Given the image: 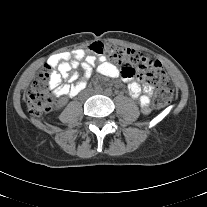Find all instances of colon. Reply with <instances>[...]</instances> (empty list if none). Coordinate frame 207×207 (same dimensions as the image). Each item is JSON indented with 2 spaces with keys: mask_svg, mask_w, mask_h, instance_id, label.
<instances>
[{
  "mask_svg": "<svg viewBox=\"0 0 207 207\" xmlns=\"http://www.w3.org/2000/svg\"><path fill=\"white\" fill-rule=\"evenodd\" d=\"M90 49L97 54L106 56L121 67L122 76L134 78L137 74L150 88L157 87L154 94V106L163 108L172 98L169 77L162 64L138 51L111 43L92 42ZM46 69H50L46 66ZM26 103L32 115L40 116L50 111L53 98L50 86V74L42 71L32 82L27 93Z\"/></svg>",
  "mask_w": 207,
  "mask_h": 207,
  "instance_id": "1",
  "label": "colon"
}]
</instances>
